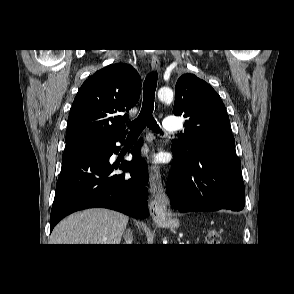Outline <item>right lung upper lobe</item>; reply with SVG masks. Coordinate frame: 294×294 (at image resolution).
Returning a JSON list of instances; mask_svg holds the SVG:
<instances>
[{"instance_id": "cb5924a9", "label": "right lung upper lobe", "mask_w": 294, "mask_h": 294, "mask_svg": "<svg viewBox=\"0 0 294 294\" xmlns=\"http://www.w3.org/2000/svg\"><path fill=\"white\" fill-rule=\"evenodd\" d=\"M141 78L128 64H111L89 77L80 87L67 122L66 143L106 141L124 136L125 121L137 103Z\"/></svg>"}]
</instances>
